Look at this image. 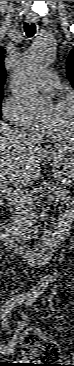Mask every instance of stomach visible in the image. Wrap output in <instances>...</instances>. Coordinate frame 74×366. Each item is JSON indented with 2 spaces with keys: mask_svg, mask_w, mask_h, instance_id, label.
<instances>
[{
  "mask_svg": "<svg viewBox=\"0 0 74 366\" xmlns=\"http://www.w3.org/2000/svg\"><path fill=\"white\" fill-rule=\"evenodd\" d=\"M53 176L62 184H72L74 182V159L70 156L62 155L53 164Z\"/></svg>",
  "mask_w": 74,
  "mask_h": 366,
  "instance_id": "0dacf381",
  "label": "stomach"
}]
</instances>
